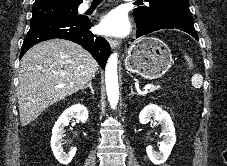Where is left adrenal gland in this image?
I'll list each match as a JSON object with an SVG mask.
<instances>
[{"label": "left adrenal gland", "instance_id": "obj_1", "mask_svg": "<svg viewBox=\"0 0 227 166\" xmlns=\"http://www.w3.org/2000/svg\"><path fill=\"white\" fill-rule=\"evenodd\" d=\"M130 88H131V93H130V95H129V96L131 97V96L135 95L136 93L133 91L132 86H131Z\"/></svg>", "mask_w": 227, "mask_h": 166}]
</instances>
